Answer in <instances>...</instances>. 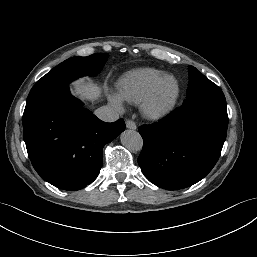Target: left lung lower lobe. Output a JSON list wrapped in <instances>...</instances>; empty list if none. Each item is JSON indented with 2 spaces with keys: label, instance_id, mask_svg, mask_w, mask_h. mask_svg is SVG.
Instances as JSON below:
<instances>
[{
  "label": "left lung lower lobe",
  "instance_id": "left-lung-lower-lobe-1",
  "mask_svg": "<svg viewBox=\"0 0 257 257\" xmlns=\"http://www.w3.org/2000/svg\"><path fill=\"white\" fill-rule=\"evenodd\" d=\"M226 100L183 103L157 123L142 125L139 166L153 184L176 190L203 179L216 164L226 139Z\"/></svg>",
  "mask_w": 257,
  "mask_h": 257
}]
</instances>
